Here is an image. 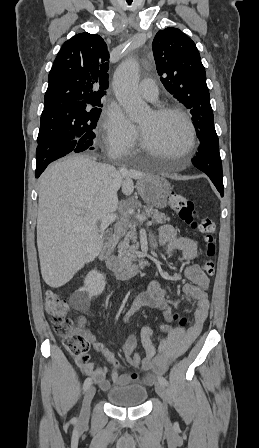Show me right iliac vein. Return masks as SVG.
<instances>
[{
    "instance_id": "63e3f726",
    "label": "right iliac vein",
    "mask_w": 259,
    "mask_h": 448,
    "mask_svg": "<svg viewBox=\"0 0 259 448\" xmlns=\"http://www.w3.org/2000/svg\"><path fill=\"white\" fill-rule=\"evenodd\" d=\"M95 392H96L95 387L90 386L84 395L83 404L79 416V423L82 425L86 424L89 420L90 404L95 395Z\"/></svg>"
}]
</instances>
